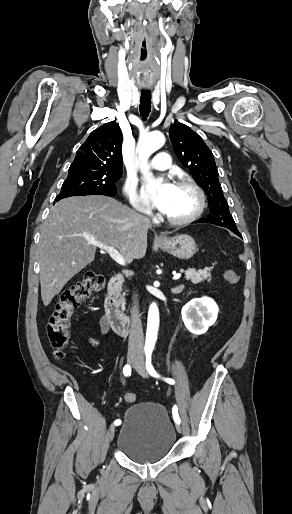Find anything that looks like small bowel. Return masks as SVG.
<instances>
[{"label": "small bowel", "mask_w": 292, "mask_h": 514, "mask_svg": "<svg viewBox=\"0 0 292 514\" xmlns=\"http://www.w3.org/2000/svg\"><path fill=\"white\" fill-rule=\"evenodd\" d=\"M100 329H101V333L103 336L107 335L108 332H109V324L107 322V319H106V316H102L101 319H100ZM86 342L92 346H95V347H98L100 346V341L95 339V338H92V337H88L86 339Z\"/></svg>", "instance_id": "c3829d8e"}]
</instances>
